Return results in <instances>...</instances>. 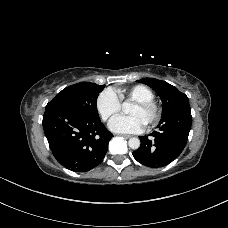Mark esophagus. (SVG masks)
I'll return each mask as SVG.
<instances>
[{
	"instance_id": "34e87169",
	"label": "esophagus",
	"mask_w": 228,
	"mask_h": 228,
	"mask_svg": "<svg viewBox=\"0 0 228 228\" xmlns=\"http://www.w3.org/2000/svg\"><path fill=\"white\" fill-rule=\"evenodd\" d=\"M119 136L124 137V138H126V139H128V138H131V137H132L131 135H126V134H120Z\"/></svg>"
}]
</instances>
